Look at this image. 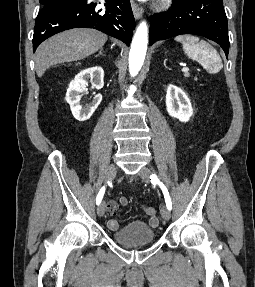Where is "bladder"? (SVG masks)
Instances as JSON below:
<instances>
[{
	"mask_svg": "<svg viewBox=\"0 0 255 287\" xmlns=\"http://www.w3.org/2000/svg\"><path fill=\"white\" fill-rule=\"evenodd\" d=\"M113 241L122 245H140L152 243L156 238L155 229L146 222L135 220L113 230Z\"/></svg>",
	"mask_w": 255,
	"mask_h": 287,
	"instance_id": "obj_1",
	"label": "bladder"
}]
</instances>
